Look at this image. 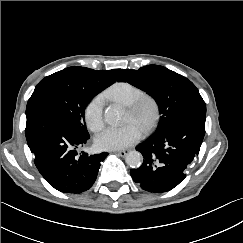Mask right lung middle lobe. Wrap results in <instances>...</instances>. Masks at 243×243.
Instances as JSON below:
<instances>
[{"label":"right lung middle lobe","instance_id":"1","mask_svg":"<svg viewBox=\"0 0 243 243\" xmlns=\"http://www.w3.org/2000/svg\"><path fill=\"white\" fill-rule=\"evenodd\" d=\"M108 84L87 85L64 70L45 77L35 87L26 111L43 108L63 116L79 133L88 134L84 114L90 100Z\"/></svg>","mask_w":243,"mask_h":243}]
</instances>
